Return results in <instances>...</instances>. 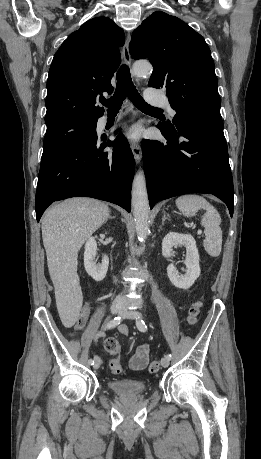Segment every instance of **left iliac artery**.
Returning a JSON list of instances; mask_svg holds the SVG:
<instances>
[{
    "label": "left iliac artery",
    "instance_id": "44dca946",
    "mask_svg": "<svg viewBox=\"0 0 261 459\" xmlns=\"http://www.w3.org/2000/svg\"><path fill=\"white\" fill-rule=\"evenodd\" d=\"M136 325H137V328L141 332H146L147 331V326H146L145 322L142 319H138L137 322H136ZM166 357L170 360L171 354H167Z\"/></svg>",
    "mask_w": 261,
    "mask_h": 459
}]
</instances>
